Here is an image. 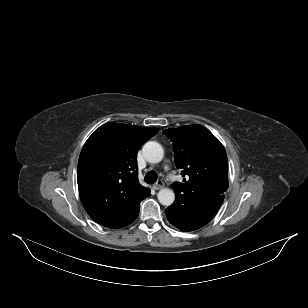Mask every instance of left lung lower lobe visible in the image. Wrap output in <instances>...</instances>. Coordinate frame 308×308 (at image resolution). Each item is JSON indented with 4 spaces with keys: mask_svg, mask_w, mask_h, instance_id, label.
<instances>
[{
    "mask_svg": "<svg viewBox=\"0 0 308 308\" xmlns=\"http://www.w3.org/2000/svg\"><path fill=\"white\" fill-rule=\"evenodd\" d=\"M223 200L224 196H220L184 210L171 205L166 209V217L172 225L181 231L197 230L215 216Z\"/></svg>",
    "mask_w": 308,
    "mask_h": 308,
    "instance_id": "obj_1",
    "label": "left lung lower lobe"
}]
</instances>
